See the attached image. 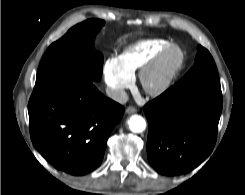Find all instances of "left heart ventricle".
I'll use <instances>...</instances> for the list:
<instances>
[{"instance_id":"obj_1","label":"left heart ventricle","mask_w":245,"mask_h":195,"mask_svg":"<svg viewBox=\"0 0 245 195\" xmlns=\"http://www.w3.org/2000/svg\"><path fill=\"white\" fill-rule=\"evenodd\" d=\"M151 81H152V82L155 81V78H153Z\"/></svg>"}]
</instances>
